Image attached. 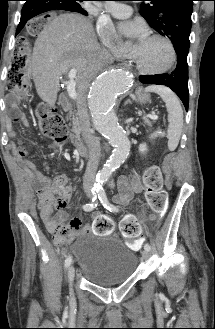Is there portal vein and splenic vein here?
<instances>
[{
  "instance_id": "obj_1",
  "label": "portal vein and splenic vein",
  "mask_w": 215,
  "mask_h": 329,
  "mask_svg": "<svg viewBox=\"0 0 215 329\" xmlns=\"http://www.w3.org/2000/svg\"><path fill=\"white\" fill-rule=\"evenodd\" d=\"M77 75V69H71L68 73V78L69 81L67 82V92L68 95L71 99L75 100L77 98V93H76V82L74 81V78ZM144 118H150L153 120H157L158 116L155 113L148 114Z\"/></svg>"
}]
</instances>
